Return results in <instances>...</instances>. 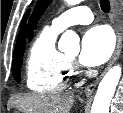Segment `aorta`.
<instances>
[{
    "label": "aorta",
    "instance_id": "obj_1",
    "mask_svg": "<svg viewBox=\"0 0 123 113\" xmlns=\"http://www.w3.org/2000/svg\"><path fill=\"white\" fill-rule=\"evenodd\" d=\"M69 5H76L81 0H66ZM79 36L72 30L63 33L58 43V48L62 52L70 51L77 54L80 50ZM121 77V67H112L103 77L98 86L97 93L92 104L91 113H109V106L115 89Z\"/></svg>",
    "mask_w": 123,
    "mask_h": 113
}]
</instances>
